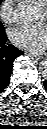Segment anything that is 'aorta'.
<instances>
[{
    "label": "aorta",
    "instance_id": "762f6f07",
    "mask_svg": "<svg viewBox=\"0 0 47 129\" xmlns=\"http://www.w3.org/2000/svg\"><path fill=\"white\" fill-rule=\"evenodd\" d=\"M36 16L37 10L27 4H21L14 10L15 19L23 23H29L34 21ZM42 71L44 75L47 74V66L45 62L42 65Z\"/></svg>",
    "mask_w": 47,
    "mask_h": 129
}]
</instances>
